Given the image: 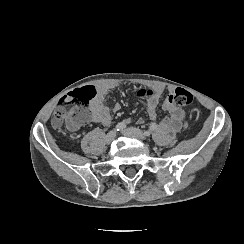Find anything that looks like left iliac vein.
<instances>
[{"label": "left iliac vein", "instance_id": "1", "mask_svg": "<svg viewBox=\"0 0 244 244\" xmlns=\"http://www.w3.org/2000/svg\"><path fill=\"white\" fill-rule=\"evenodd\" d=\"M123 134L127 137H130V138H136V139H139L141 141H144L146 140V136L145 134L139 130L138 128H127L123 131Z\"/></svg>", "mask_w": 244, "mask_h": 244}]
</instances>
